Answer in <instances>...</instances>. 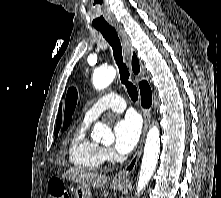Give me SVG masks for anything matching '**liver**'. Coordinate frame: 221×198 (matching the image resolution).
<instances>
[{"label": "liver", "mask_w": 221, "mask_h": 198, "mask_svg": "<svg viewBox=\"0 0 221 198\" xmlns=\"http://www.w3.org/2000/svg\"><path fill=\"white\" fill-rule=\"evenodd\" d=\"M62 178L71 180L79 185L85 187L100 188L103 187L108 178L105 175L85 171L82 169H69L63 175Z\"/></svg>", "instance_id": "6515ba94"}]
</instances>
